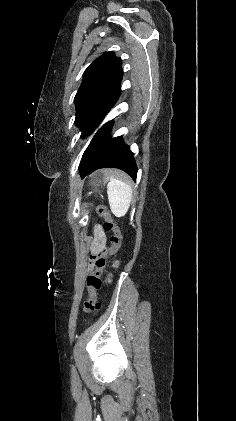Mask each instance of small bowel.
<instances>
[{
	"mask_svg": "<svg viewBox=\"0 0 236 421\" xmlns=\"http://www.w3.org/2000/svg\"><path fill=\"white\" fill-rule=\"evenodd\" d=\"M95 241L92 247V253L97 254L105 249V233L100 225H95L94 228Z\"/></svg>",
	"mask_w": 236,
	"mask_h": 421,
	"instance_id": "1",
	"label": "small bowel"
}]
</instances>
